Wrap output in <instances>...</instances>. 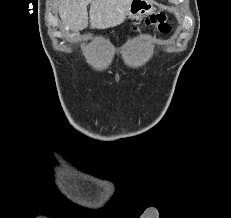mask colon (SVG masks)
Here are the masks:
<instances>
[{"label": "colon", "instance_id": "obj_1", "mask_svg": "<svg viewBox=\"0 0 231 218\" xmlns=\"http://www.w3.org/2000/svg\"><path fill=\"white\" fill-rule=\"evenodd\" d=\"M144 26L151 27L154 31L159 33H169L171 26L167 21V17L164 14H156L150 16L145 22Z\"/></svg>", "mask_w": 231, "mask_h": 218}]
</instances>
